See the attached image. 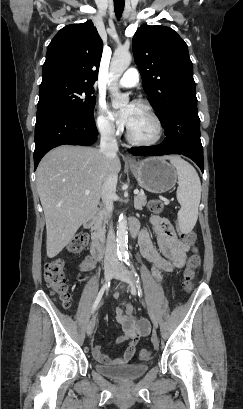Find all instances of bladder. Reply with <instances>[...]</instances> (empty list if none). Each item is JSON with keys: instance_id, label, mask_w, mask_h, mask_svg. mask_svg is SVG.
Returning <instances> with one entry per match:
<instances>
[{"instance_id": "1", "label": "bladder", "mask_w": 243, "mask_h": 409, "mask_svg": "<svg viewBox=\"0 0 243 409\" xmlns=\"http://www.w3.org/2000/svg\"><path fill=\"white\" fill-rule=\"evenodd\" d=\"M96 371L106 377L118 381H132L144 376L148 371V364H123L117 366L102 365L96 363Z\"/></svg>"}]
</instances>
